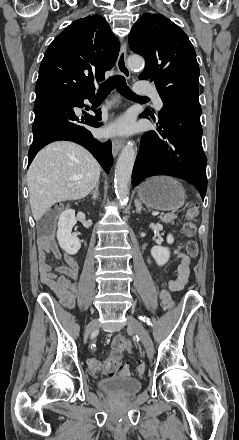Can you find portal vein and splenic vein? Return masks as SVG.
I'll list each match as a JSON object with an SVG mask.
<instances>
[{
	"instance_id": "portal-vein-and-splenic-vein-1",
	"label": "portal vein and splenic vein",
	"mask_w": 239,
	"mask_h": 440,
	"mask_svg": "<svg viewBox=\"0 0 239 440\" xmlns=\"http://www.w3.org/2000/svg\"><path fill=\"white\" fill-rule=\"evenodd\" d=\"M153 214H154V215H158L159 213H158L157 211H155Z\"/></svg>"
}]
</instances>
